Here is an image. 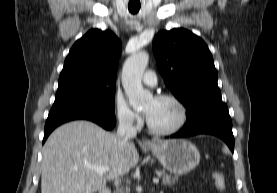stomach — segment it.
<instances>
[{
	"instance_id": "obj_1",
	"label": "stomach",
	"mask_w": 277,
	"mask_h": 193,
	"mask_svg": "<svg viewBox=\"0 0 277 193\" xmlns=\"http://www.w3.org/2000/svg\"><path fill=\"white\" fill-rule=\"evenodd\" d=\"M148 148L167 171L176 175L187 174L200 161L196 146L184 139L156 141Z\"/></svg>"
}]
</instances>
